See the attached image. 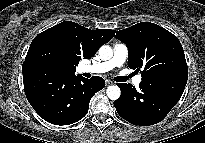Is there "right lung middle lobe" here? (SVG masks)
Returning <instances> with one entry per match:
<instances>
[{"instance_id":"obj_1","label":"right lung middle lobe","mask_w":205,"mask_h":143,"mask_svg":"<svg viewBox=\"0 0 205 143\" xmlns=\"http://www.w3.org/2000/svg\"><path fill=\"white\" fill-rule=\"evenodd\" d=\"M26 62L43 64L74 73L78 65L74 50L55 35L36 36L29 47Z\"/></svg>"}]
</instances>
